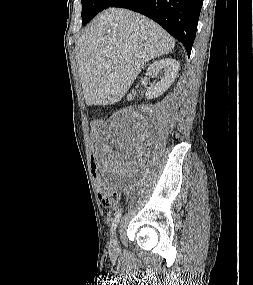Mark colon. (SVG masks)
<instances>
[{
	"label": "colon",
	"mask_w": 253,
	"mask_h": 285,
	"mask_svg": "<svg viewBox=\"0 0 253 285\" xmlns=\"http://www.w3.org/2000/svg\"><path fill=\"white\" fill-rule=\"evenodd\" d=\"M90 126V134H91V144H90V172L91 176H93V180H96V189L98 198L103 207L107 209L113 208L118 200L119 194L118 192L111 187L104 180V175H100V168L98 164V137H99V127L98 121L94 120Z\"/></svg>",
	"instance_id": "1"
}]
</instances>
